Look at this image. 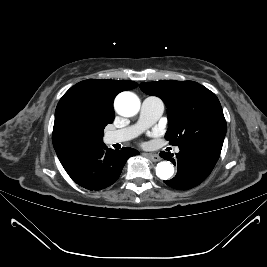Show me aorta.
I'll use <instances>...</instances> for the list:
<instances>
[{
  "instance_id": "aorta-1",
  "label": "aorta",
  "mask_w": 267,
  "mask_h": 267,
  "mask_svg": "<svg viewBox=\"0 0 267 267\" xmlns=\"http://www.w3.org/2000/svg\"><path fill=\"white\" fill-rule=\"evenodd\" d=\"M116 111L124 116L131 117L138 113L140 100L132 92H122L115 99ZM174 174V167L169 161H161L156 166V175L162 180H168Z\"/></svg>"
}]
</instances>
